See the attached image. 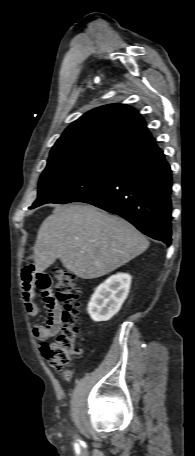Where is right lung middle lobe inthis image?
Segmentation results:
<instances>
[{"label":"right lung middle lobe","instance_id":"dd1d6c3e","mask_svg":"<svg viewBox=\"0 0 195 456\" xmlns=\"http://www.w3.org/2000/svg\"><path fill=\"white\" fill-rule=\"evenodd\" d=\"M122 168L85 159L48 163L40 177L38 198L30 208L75 202L105 184Z\"/></svg>","mask_w":195,"mask_h":456}]
</instances>
